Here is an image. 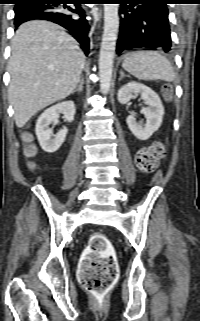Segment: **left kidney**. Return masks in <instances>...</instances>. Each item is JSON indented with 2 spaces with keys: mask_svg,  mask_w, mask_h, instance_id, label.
I'll use <instances>...</instances> for the list:
<instances>
[{
  "mask_svg": "<svg viewBox=\"0 0 200 321\" xmlns=\"http://www.w3.org/2000/svg\"><path fill=\"white\" fill-rule=\"evenodd\" d=\"M134 94H140L148 107L142 109L146 117V123L142 124L136 121L135 115L127 117L126 122L133 135L140 140L149 139L152 134L159 129L164 115V107L160 97L146 85L129 82L122 86L117 94L118 101L121 104H127Z\"/></svg>",
  "mask_w": 200,
  "mask_h": 321,
  "instance_id": "left-kidney-1",
  "label": "left kidney"
}]
</instances>
